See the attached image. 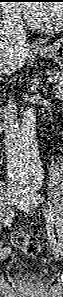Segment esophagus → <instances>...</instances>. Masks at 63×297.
Segmentation results:
<instances>
[{
    "mask_svg": "<svg viewBox=\"0 0 63 297\" xmlns=\"http://www.w3.org/2000/svg\"><path fill=\"white\" fill-rule=\"evenodd\" d=\"M33 47L39 48V47H41V45L37 41H34Z\"/></svg>",
    "mask_w": 63,
    "mask_h": 297,
    "instance_id": "1",
    "label": "esophagus"
}]
</instances>
